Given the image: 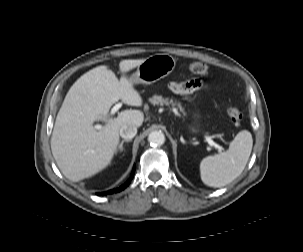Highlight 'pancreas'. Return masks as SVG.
I'll list each match as a JSON object with an SVG mask.
<instances>
[{"label":"pancreas","instance_id":"obj_1","mask_svg":"<svg viewBox=\"0 0 303 252\" xmlns=\"http://www.w3.org/2000/svg\"><path fill=\"white\" fill-rule=\"evenodd\" d=\"M149 102L153 105H159V106L171 105L173 108H176L177 110H179L180 112L185 114V111L182 108L181 104L179 102H177L176 100L169 99L167 97L164 98L161 95H154L151 98H149Z\"/></svg>","mask_w":303,"mask_h":252}]
</instances>
